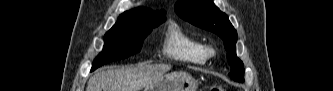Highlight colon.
I'll use <instances>...</instances> for the list:
<instances>
[{
  "label": "colon",
  "instance_id": "obj_1",
  "mask_svg": "<svg viewBox=\"0 0 333 91\" xmlns=\"http://www.w3.org/2000/svg\"><path fill=\"white\" fill-rule=\"evenodd\" d=\"M210 91H225L224 86L221 83L213 84L210 89Z\"/></svg>",
  "mask_w": 333,
  "mask_h": 91
}]
</instances>
